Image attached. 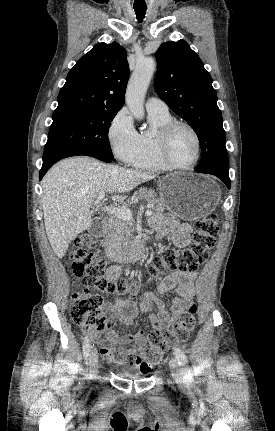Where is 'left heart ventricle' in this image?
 Segmentation results:
<instances>
[{"label":"left heart ventricle","instance_id":"b2bd125f","mask_svg":"<svg viewBox=\"0 0 275 431\" xmlns=\"http://www.w3.org/2000/svg\"><path fill=\"white\" fill-rule=\"evenodd\" d=\"M170 156L180 165L189 164L195 159L196 142L188 129L179 127L175 130L170 142Z\"/></svg>","mask_w":275,"mask_h":431}]
</instances>
